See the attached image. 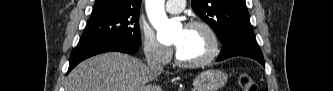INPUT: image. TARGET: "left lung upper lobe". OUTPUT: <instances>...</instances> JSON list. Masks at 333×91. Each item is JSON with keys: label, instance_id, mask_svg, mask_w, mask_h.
<instances>
[{"label": "left lung upper lobe", "instance_id": "1", "mask_svg": "<svg viewBox=\"0 0 333 91\" xmlns=\"http://www.w3.org/2000/svg\"><path fill=\"white\" fill-rule=\"evenodd\" d=\"M192 8L222 43L232 36L253 32L244 0H192Z\"/></svg>", "mask_w": 333, "mask_h": 91}]
</instances>
